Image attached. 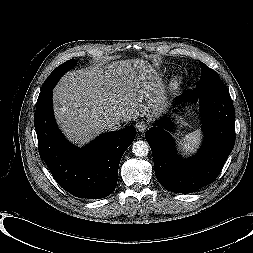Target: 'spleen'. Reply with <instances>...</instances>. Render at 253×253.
<instances>
[{
  "label": "spleen",
  "mask_w": 253,
  "mask_h": 253,
  "mask_svg": "<svg viewBox=\"0 0 253 253\" xmlns=\"http://www.w3.org/2000/svg\"><path fill=\"white\" fill-rule=\"evenodd\" d=\"M200 139H201L200 130L189 133L183 138V140L180 142V145L183 146V150L186 151L187 156L190 153L192 154L195 152L196 147L200 142Z\"/></svg>",
  "instance_id": "1"
}]
</instances>
